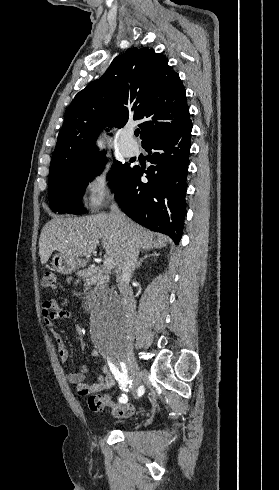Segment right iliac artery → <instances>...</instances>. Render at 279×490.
Here are the masks:
<instances>
[{
    "label": "right iliac artery",
    "mask_w": 279,
    "mask_h": 490,
    "mask_svg": "<svg viewBox=\"0 0 279 490\" xmlns=\"http://www.w3.org/2000/svg\"><path fill=\"white\" fill-rule=\"evenodd\" d=\"M119 354L118 352H109L108 354V360H107V363L112 371V373L115 375V378L119 381V384L121 385L120 386V389H121V392H120V402H127L128 401V398L125 394L126 392V384L128 383V375H127V369H126V364L124 362H120L119 360ZM119 363V366L121 367L122 371L123 372H120L118 370L117 366ZM131 382V381H130Z\"/></svg>",
    "instance_id": "82829eb1"
}]
</instances>
